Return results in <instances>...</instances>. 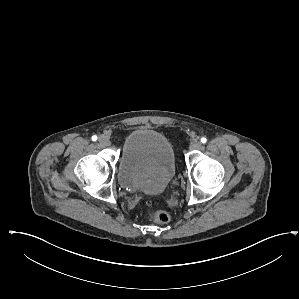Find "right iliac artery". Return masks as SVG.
<instances>
[{"label": "right iliac artery", "instance_id": "1", "mask_svg": "<svg viewBox=\"0 0 299 299\" xmlns=\"http://www.w3.org/2000/svg\"><path fill=\"white\" fill-rule=\"evenodd\" d=\"M97 139H98V138H97L96 135H93V136H92V140H93V141H96Z\"/></svg>", "mask_w": 299, "mask_h": 299}]
</instances>
